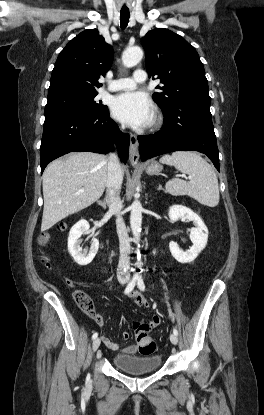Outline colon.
<instances>
[{
  "label": "colon",
  "instance_id": "obj_1",
  "mask_svg": "<svg viewBox=\"0 0 264 415\" xmlns=\"http://www.w3.org/2000/svg\"><path fill=\"white\" fill-rule=\"evenodd\" d=\"M40 240L43 244L46 243L48 240V235L43 234ZM42 262L47 266L51 265V260L48 257H43ZM74 299L77 305L79 306V308L84 313H86L87 315H89L90 317L94 319L97 318V315L94 310L93 302L90 296L86 292L82 290H76L74 292ZM136 338H137V341L142 344L144 352H146L147 354H151L155 351V348H156L155 342L148 335V333L142 331L139 326L136 329Z\"/></svg>",
  "mask_w": 264,
  "mask_h": 415
}]
</instances>
